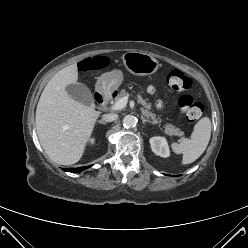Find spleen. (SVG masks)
Masks as SVG:
<instances>
[{
    "mask_svg": "<svg viewBox=\"0 0 248 248\" xmlns=\"http://www.w3.org/2000/svg\"><path fill=\"white\" fill-rule=\"evenodd\" d=\"M211 137V121L208 117L201 118L194 126L191 139L184 138L180 143H172V150L182 154L183 164L197 160L206 150Z\"/></svg>",
    "mask_w": 248,
    "mask_h": 248,
    "instance_id": "obj_1",
    "label": "spleen"
}]
</instances>
